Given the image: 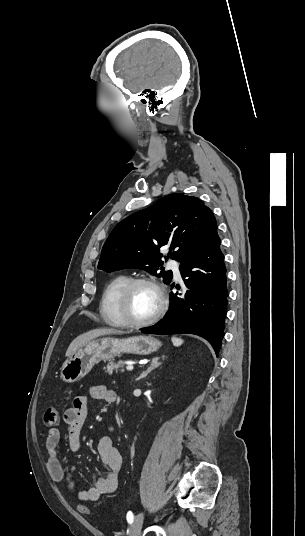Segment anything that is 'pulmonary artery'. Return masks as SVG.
<instances>
[{"instance_id": "e3ab8cb5", "label": "pulmonary artery", "mask_w": 305, "mask_h": 536, "mask_svg": "<svg viewBox=\"0 0 305 536\" xmlns=\"http://www.w3.org/2000/svg\"><path fill=\"white\" fill-rule=\"evenodd\" d=\"M169 268L173 270L174 276L177 280L181 279L180 264L176 260H170L168 262Z\"/></svg>"}]
</instances>
